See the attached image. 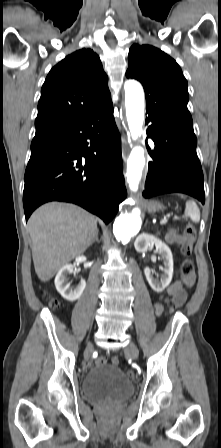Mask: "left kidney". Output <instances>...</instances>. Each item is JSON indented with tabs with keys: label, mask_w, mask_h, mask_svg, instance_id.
I'll use <instances>...</instances> for the list:
<instances>
[{
	"label": "left kidney",
	"mask_w": 221,
	"mask_h": 448,
	"mask_svg": "<svg viewBox=\"0 0 221 448\" xmlns=\"http://www.w3.org/2000/svg\"><path fill=\"white\" fill-rule=\"evenodd\" d=\"M155 245L159 250V253L162 257L164 269L163 275L161 276L160 281L155 279L152 275L151 270L146 267L144 269V273L146 279L151 286V288L155 292H162L171 282L173 276V255L170 248L162 242L160 239L156 238L154 235H150L147 233H142L139 235L134 243L135 249L138 252H144L149 247Z\"/></svg>",
	"instance_id": "5707ae66"
}]
</instances>
